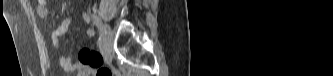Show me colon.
Here are the masks:
<instances>
[{
  "instance_id": "5ec220e1",
  "label": "colon",
  "mask_w": 333,
  "mask_h": 76,
  "mask_svg": "<svg viewBox=\"0 0 333 76\" xmlns=\"http://www.w3.org/2000/svg\"><path fill=\"white\" fill-rule=\"evenodd\" d=\"M113 73L110 69L104 68L99 71H97L96 76H112Z\"/></svg>"
}]
</instances>
